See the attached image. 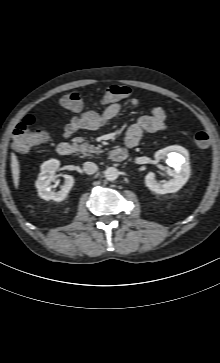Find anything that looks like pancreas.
<instances>
[{
	"label": "pancreas",
	"instance_id": "pancreas-1",
	"mask_svg": "<svg viewBox=\"0 0 220 363\" xmlns=\"http://www.w3.org/2000/svg\"><path fill=\"white\" fill-rule=\"evenodd\" d=\"M73 141H74V146L81 154H83V156H92L93 153L98 154L101 152L98 147H94L93 145H90L88 143H81L83 141V138L78 137L75 138Z\"/></svg>",
	"mask_w": 220,
	"mask_h": 363
}]
</instances>
